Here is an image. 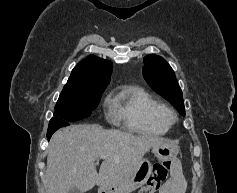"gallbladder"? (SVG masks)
<instances>
[{
    "mask_svg": "<svg viewBox=\"0 0 237 193\" xmlns=\"http://www.w3.org/2000/svg\"><path fill=\"white\" fill-rule=\"evenodd\" d=\"M68 193H82V192L78 188L73 187L68 191Z\"/></svg>",
    "mask_w": 237,
    "mask_h": 193,
    "instance_id": "1",
    "label": "gallbladder"
}]
</instances>
